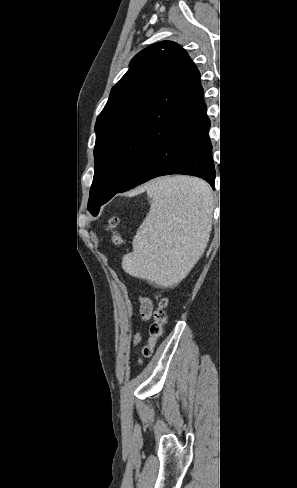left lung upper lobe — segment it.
<instances>
[{"label":"left lung upper lobe","instance_id":"1","mask_svg":"<svg viewBox=\"0 0 297 488\" xmlns=\"http://www.w3.org/2000/svg\"><path fill=\"white\" fill-rule=\"evenodd\" d=\"M203 92L197 67L175 42L150 45L131 60L95 124L92 215L172 133L206 108Z\"/></svg>","mask_w":297,"mask_h":488}]
</instances>
